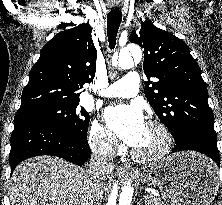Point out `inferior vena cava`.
<instances>
[{
	"mask_svg": "<svg viewBox=\"0 0 222 205\" xmlns=\"http://www.w3.org/2000/svg\"><path fill=\"white\" fill-rule=\"evenodd\" d=\"M113 152H106L103 154L94 153L90 159L88 174L98 183L102 178L109 175L113 171ZM86 205L95 204L93 195H89L86 199Z\"/></svg>",
	"mask_w": 222,
	"mask_h": 205,
	"instance_id": "1",
	"label": "inferior vena cava"
}]
</instances>
